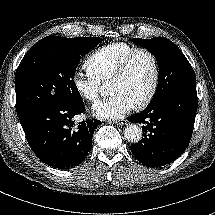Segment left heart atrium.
Returning a JSON list of instances; mask_svg holds the SVG:
<instances>
[{
	"label": "left heart atrium",
	"mask_w": 215,
	"mask_h": 215,
	"mask_svg": "<svg viewBox=\"0 0 215 215\" xmlns=\"http://www.w3.org/2000/svg\"><path fill=\"white\" fill-rule=\"evenodd\" d=\"M133 108L132 101L123 93H113L104 101L93 106L95 116L104 119L122 118Z\"/></svg>",
	"instance_id": "39dd6f15"
}]
</instances>
